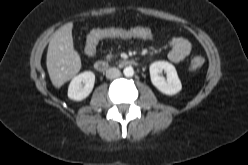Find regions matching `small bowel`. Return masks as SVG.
Wrapping results in <instances>:
<instances>
[{"instance_id":"c3829d8e","label":"small bowel","mask_w":248,"mask_h":165,"mask_svg":"<svg viewBox=\"0 0 248 165\" xmlns=\"http://www.w3.org/2000/svg\"><path fill=\"white\" fill-rule=\"evenodd\" d=\"M127 35L122 38H138V39H151L153 37V32L146 27H133L129 29H124ZM138 31H148V35H140ZM89 40V36L87 41ZM192 51V46L190 41L181 36L173 37L170 40V49L168 53V58L173 63L182 62L186 57L190 55Z\"/></svg>"}]
</instances>
